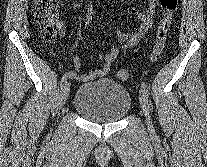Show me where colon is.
<instances>
[{"label": "colon", "instance_id": "obj_1", "mask_svg": "<svg viewBox=\"0 0 207 167\" xmlns=\"http://www.w3.org/2000/svg\"><path fill=\"white\" fill-rule=\"evenodd\" d=\"M162 17L156 28V42L150 54V60L156 61L161 55L172 19L178 8V0H159ZM34 16L39 24L40 33L45 42L52 43L59 33L58 0H35ZM120 80H127L130 72L126 69L117 71Z\"/></svg>", "mask_w": 207, "mask_h": 167}]
</instances>
